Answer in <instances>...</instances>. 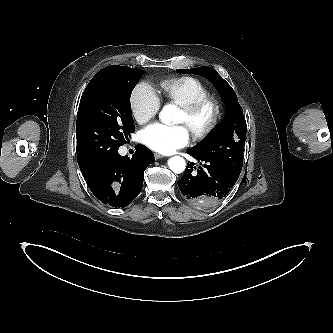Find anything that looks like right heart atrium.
I'll use <instances>...</instances> for the list:
<instances>
[{"mask_svg":"<svg viewBox=\"0 0 333 333\" xmlns=\"http://www.w3.org/2000/svg\"><path fill=\"white\" fill-rule=\"evenodd\" d=\"M131 111L139 123L153 118L160 109V99L153 88L147 83L138 84L131 95Z\"/></svg>","mask_w":333,"mask_h":333,"instance_id":"1","label":"right heart atrium"}]
</instances>
